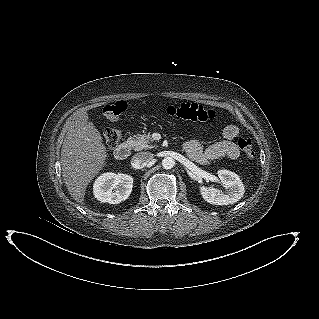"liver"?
I'll use <instances>...</instances> for the list:
<instances>
[{
	"label": "liver",
	"mask_w": 319,
	"mask_h": 319,
	"mask_svg": "<svg viewBox=\"0 0 319 319\" xmlns=\"http://www.w3.org/2000/svg\"><path fill=\"white\" fill-rule=\"evenodd\" d=\"M106 147L98 129L80 112L70 122L61 148L62 177L73 199L83 203L87 185L105 165Z\"/></svg>",
	"instance_id": "1"
}]
</instances>
